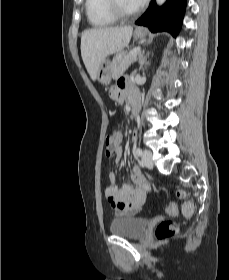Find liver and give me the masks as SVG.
<instances>
[{
	"instance_id": "6515ba94",
	"label": "liver",
	"mask_w": 229,
	"mask_h": 280,
	"mask_svg": "<svg viewBox=\"0 0 229 280\" xmlns=\"http://www.w3.org/2000/svg\"><path fill=\"white\" fill-rule=\"evenodd\" d=\"M133 27H104L88 29L81 36V56L91 79L107 56L122 51L130 42Z\"/></svg>"
}]
</instances>
